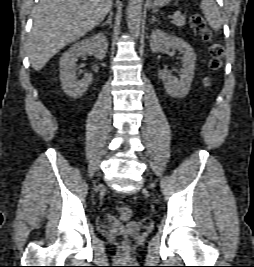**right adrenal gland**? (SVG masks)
I'll return each instance as SVG.
<instances>
[{
    "label": "right adrenal gland",
    "instance_id": "obj_1",
    "mask_svg": "<svg viewBox=\"0 0 254 267\" xmlns=\"http://www.w3.org/2000/svg\"><path fill=\"white\" fill-rule=\"evenodd\" d=\"M112 16H113V13H112V11H110L107 21L104 22V23L102 24V26H105V25H107V24H109L110 26H112Z\"/></svg>",
    "mask_w": 254,
    "mask_h": 267
}]
</instances>
